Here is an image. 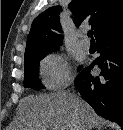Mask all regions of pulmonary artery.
Returning a JSON list of instances; mask_svg holds the SVG:
<instances>
[{"mask_svg": "<svg viewBox=\"0 0 123 130\" xmlns=\"http://www.w3.org/2000/svg\"><path fill=\"white\" fill-rule=\"evenodd\" d=\"M80 46L84 50H88L90 48V41L87 39V37L85 35L82 36V39L80 41Z\"/></svg>", "mask_w": 123, "mask_h": 130, "instance_id": "pulmonary-artery-1", "label": "pulmonary artery"}]
</instances>
